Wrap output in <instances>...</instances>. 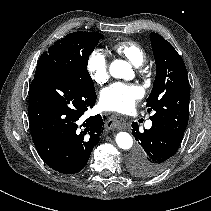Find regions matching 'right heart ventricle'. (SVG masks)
<instances>
[{
  "instance_id": "right-heart-ventricle-1",
  "label": "right heart ventricle",
  "mask_w": 211,
  "mask_h": 211,
  "mask_svg": "<svg viewBox=\"0 0 211 211\" xmlns=\"http://www.w3.org/2000/svg\"><path fill=\"white\" fill-rule=\"evenodd\" d=\"M112 49L135 66H140L146 57L144 49L136 42L130 40L119 41L113 45Z\"/></svg>"
}]
</instances>
